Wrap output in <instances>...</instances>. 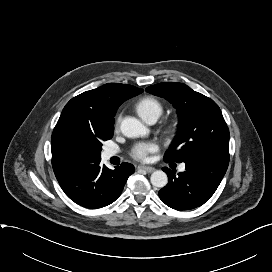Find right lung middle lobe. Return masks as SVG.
Instances as JSON below:
<instances>
[{
	"label": "right lung middle lobe",
	"instance_id": "obj_1",
	"mask_svg": "<svg viewBox=\"0 0 272 272\" xmlns=\"http://www.w3.org/2000/svg\"><path fill=\"white\" fill-rule=\"evenodd\" d=\"M113 131L114 129L110 128L74 135L70 138V144L81 155L87 157L91 161H96L101 159L100 152L102 149V142L111 139Z\"/></svg>",
	"mask_w": 272,
	"mask_h": 272
}]
</instances>
